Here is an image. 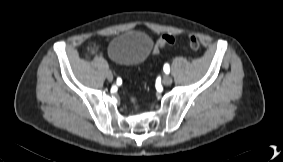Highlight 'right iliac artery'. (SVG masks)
Returning <instances> with one entry per match:
<instances>
[{"mask_svg":"<svg viewBox=\"0 0 283 162\" xmlns=\"http://www.w3.org/2000/svg\"><path fill=\"white\" fill-rule=\"evenodd\" d=\"M118 85L123 83V79L120 76H117Z\"/></svg>","mask_w":283,"mask_h":162,"instance_id":"obj_1","label":"right iliac artery"}]
</instances>
